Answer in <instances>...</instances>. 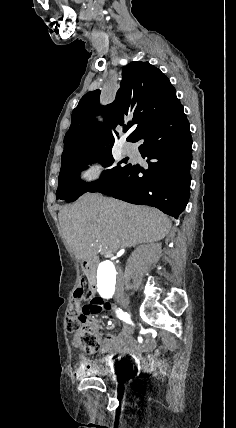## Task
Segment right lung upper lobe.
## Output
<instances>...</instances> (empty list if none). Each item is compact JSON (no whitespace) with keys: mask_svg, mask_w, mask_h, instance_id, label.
I'll list each match as a JSON object with an SVG mask.
<instances>
[{"mask_svg":"<svg viewBox=\"0 0 236 428\" xmlns=\"http://www.w3.org/2000/svg\"><path fill=\"white\" fill-rule=\"evenodd\" d=\"M122 81L116 99L101 106L100 90L85 94L72 112L71 125L64 137L61 170L86 156L113 145L118 139L115 128L124 120L135 130L127 137L131 141L146 125L161 119L180 105L169 79L149 62L134 61L122 70ZM103 114L104 123L93 119Z\"/></svg>","mask_w":236,"mask_h":428,"instance_id":"1","label":"right lung upper lobe"}]
</instances>
